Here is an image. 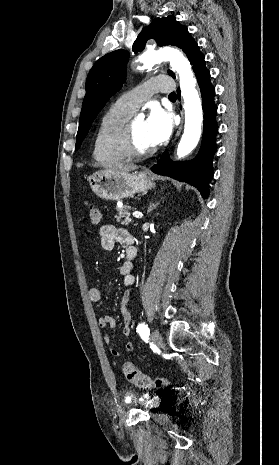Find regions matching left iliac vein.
<instances>
[{
	"instance_id": "obj_1",
	"label": "left iliac vein",
	"mask_w": 279,
	"mask_h": 465,
	"mask_svg": "<svg viewBox=\"0 0 279 465\" xmlns=\"http://www.w3.org/2000/svg\"><path fill=\"white\" fill-rule=\"evenodd\" d=\"M151 338L156 346L160 347L162 345V337L157 329L152 331Z\"/></svg>"
}]
</instances>
